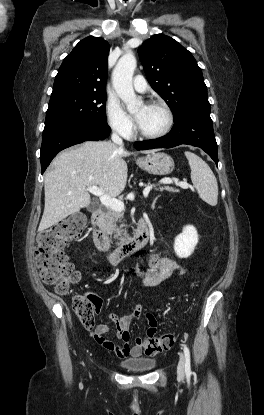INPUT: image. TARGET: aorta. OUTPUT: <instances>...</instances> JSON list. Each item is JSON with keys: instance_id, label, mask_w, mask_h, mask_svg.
Returning a JSON list of instances; mask_svg holds the SVG:
<instances>
[{"instance_id": "aorta-1", "label": "aorta", "mask_w": 264, "mask_h": 415, "mask_svg": "<svg viewBox=\"0 0 264 415\" xmlns=\"http://www.w3.org/2000/svg\"><path fill=\"white\" fill-rule=\"evenodd\" d=\"M136 68V58L132 51H127L117 62L113 70V87L126 104L129 112L141 106L142 100L137 98L132 86V77Z\"/></svg>"}]
</instances>
